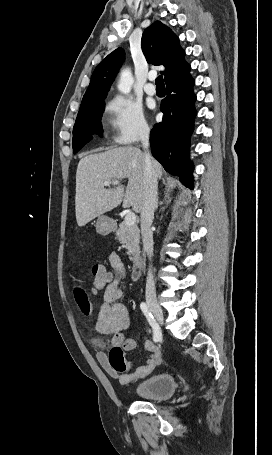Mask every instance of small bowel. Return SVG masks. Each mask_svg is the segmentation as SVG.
Instances as JSON below:
<instances>
[{"label":"small bowel","mask_w":272,"mask_h":455,"mask_svg":"<svg viewBox=\"0 0 272 455\" xmlns=\"http://www.w3.org/2000/svg\"><path fill=\"white\" fill-rule=\"evenodd\" d=\"M108 262L113 270L112 276L105 286L104 302L99 306L96 313V332L112 336V344L120 345L124 351H131L137 347L135 338H125L124 332L130 324V315L126 305L121 302L122 290L120 282L125 276V269L120 256L111 253ZM75 301L84 315L92 312L89 295L82 287L74 290ZM145 349L150 353L146 362L135 369L128 365L124 371H119L111 366L107 355L98 351L96 359L98 363L114 378L123 385H130L150 375L161 363L159 348L150 340H145Z\"/></svg>","instance_id":"small-bowel-1"}]
</instances>
